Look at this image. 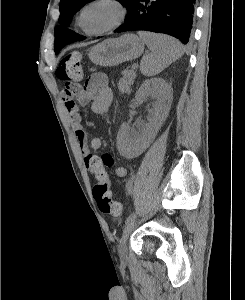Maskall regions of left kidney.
<instances>
[{"label":"left kidney","instance_id":"5707ae66","mask_svg":"<svg viewBox=\"0 0 245 300\" xmlns=\"http://www.w3.org/2000/svg\"><path fill=\"white\" fill-rule=\"evenodd\" d=\"M135 99L138 104L152 99L149 123L139 127L138 131L123 124L118 134V149L123 155H135L155 136L166 119L172 102L171 87L161 78L144 81L138 89Z\"/></svg>","mask_w":245,"mask_h":300}]
</instances>
